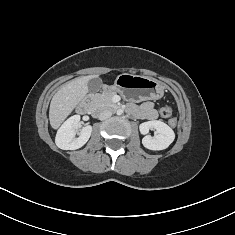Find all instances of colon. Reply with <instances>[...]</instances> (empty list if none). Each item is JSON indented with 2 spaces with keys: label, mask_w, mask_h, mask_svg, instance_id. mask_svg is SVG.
<instances>
[{
  "label": "colon",
  "mask_w": 235,
  "mask_h": 235,
  "mask_svg": "<svg viewBox=\"0 0 235 235\" xmlns=\"http://www.w3.org/2000/svg\"><path fill=\"white\" fill-rule=\"evenodd\" d=\"M173 113V109L170 105H164L163 107H161L160 109V114L162 117L164 118H169ZM171 126H175L176 125V121L175 120H171L170 121Z\"/></svg>",
  "instance_id": "obj_1"
}]
</instances>
